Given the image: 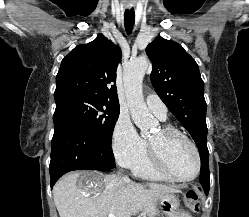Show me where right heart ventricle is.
<instances>
[{"mask_svg": "<svg viewBox=\"0 0 249 217\" xmlns=\"http://www.w3.org/2000/svg\"><path fill=\"white\" fill-rule=\"evenodd\" d=\"M132 169L133 173L141 178L154 181H169V179H167L154 168L147 149L139 158V160L132 166Z\"/></svg>", "mask_w": 249, "mask_h": 217, "instance_id": "1", "label": "right heart ventricle"}]
</instances>
